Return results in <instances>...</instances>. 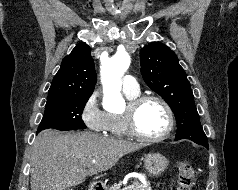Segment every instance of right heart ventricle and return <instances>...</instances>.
Segmentation results:
<instances>
[{
	"mask_svg": "<svg viewBox=\"0 0 238 190\" xmlns=\"http://www.w3.org/2000/svg\"><path fill=\"white\" fill-rule=\"evenodd\" d=\"M129 100L139 95L138 93L125 92ZM108 132L117 137H128L130 136L124 118L123 113H108Z\"/></svg>",
	"mask_w": 238,
	"mask_h": 190,
	"instance_id": "e07e8e85",
	"label": "right heart ventricle"
}]
</instances>
